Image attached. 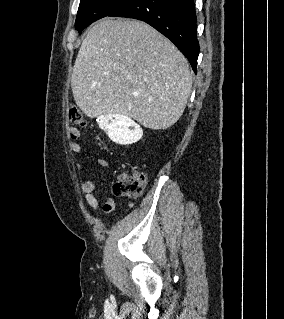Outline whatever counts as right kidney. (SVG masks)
<instances>
[{"instance_id":"ca27d5eb","label":"right kidney","mask_w":284,"mask_h":319,"mask_svg":"<svg viewBox=\"0 0 284 319\" xmlns=\"http://www.w3.org/2000/svg\"><path fill=\"white\" fill-rule=\"evenodd\" d=\"M100 127L104 129L109 138L118 144L129 145L139 141L143 130L131 118L113 114L98 119Z\"/></svg>"}]
</instances>
